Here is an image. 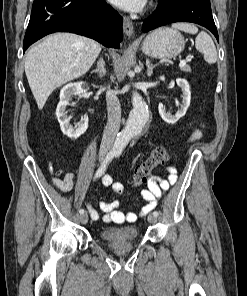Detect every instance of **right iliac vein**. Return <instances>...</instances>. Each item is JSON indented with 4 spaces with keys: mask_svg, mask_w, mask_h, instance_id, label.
Returning a JSON list of instances; mask_svg holds the SVG:
<instances>
[{
    "mask_svg": "<svg viewBox=\"0 0 247 296\" xmlns=\"http://www.w3.org/2000/svg\"><path fill=\"white\" fill-rule=\"evenodd\" d=\"M101 160H102V157H101ZM80 221H81V223H83V224H86V223H87V221H88V215H87V213H83V214L80 216Z\"/></svg>",
    "mask_w": 247,
    "mask_h": 296,
    "instance_id": "1",
    "label": "right iliac vein"
}]
</instances>
